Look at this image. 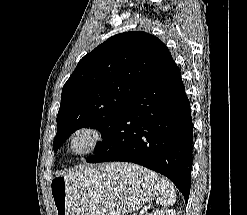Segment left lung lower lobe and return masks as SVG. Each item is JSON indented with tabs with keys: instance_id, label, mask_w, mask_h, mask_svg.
I'll return each instance as SVG.
<instances>
[{
	"instance_id": "1",
	"label": "left lung lower lobe",
	"mask_w": 247,
	"mask_h": 215,
	"mask_svg": "<svg viewBox=\"0 0 247 215\" xmlns=\"http://www.w3.org/2000/svg\"><path fill=\"white\" fill-rule=\"evenodd\" d=\"M88 163L132 162L168 177L188 202L193 160L190 103L170 52L140 87Z\"/></svg>"
}]
</instances>
